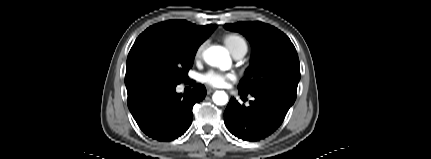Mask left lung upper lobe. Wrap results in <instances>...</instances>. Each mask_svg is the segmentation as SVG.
Returning <instances> with one entry per match:
<instances>
[{
    "mask_svg": "<svg viewBox=\"0 0 431 159\" xmlns=\"http://www.w3.org/2000/svg\"><path fill=\"white\" fill-rule=\"evenodd\" d=\"M224 27L243 34L252 46L251 65L240 81L239 92L250 94L276 89L296 97L300 64L294 45L283 32L259 21Z\"/></svg>",
    "mask_w": 431,
    "mask_h": 159,
    "instance_id": "1",
    "label": "left lung upper lobe"
}]
</instances>
